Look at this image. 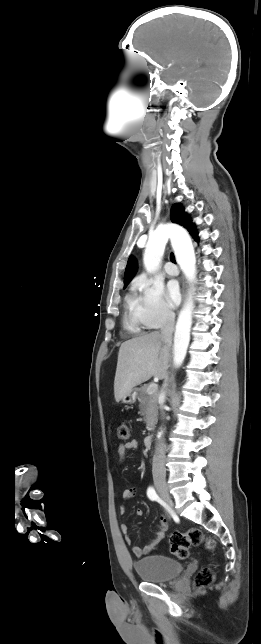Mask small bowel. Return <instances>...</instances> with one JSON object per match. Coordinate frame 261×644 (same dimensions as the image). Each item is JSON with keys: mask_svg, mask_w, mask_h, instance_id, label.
I'll return each mask as SVG.
<instances>
[{"mask_svg": "<svg viewBox=\"0 0 261 644\" xmlns=\"http://www.w3.org/2000/svg\"><path fill=\"white\" fill-rule=\"evenodd\" d=\"M138 449V442L136 440H131L126 443H122L118 447V462L121 463L125 460L126 455L129 451H135ZM136 492L135 487H129L123 490L122 492V498L124 500H129L131 499ZM120 511L122 513L125 512V507L121 506ZM136 515L137 516H142L143 515V510L141 508L136 509ZM168 527V518L166 516H161L160 517V524L157 528L156 535L153 539L148 541L145 546L140 547V546H133L132 547V552L135 556L141 557L142 555L148 554L152 551H154L162 542L165 536V531ZM121 531L125 535V539L127 543H131V536H130V527L127 524H122L121 525Z\"/></svg>", "mask_w": 261, "mask_h": 644, "instance_id": "obj_1", "label": "small bowel"}]
</instances>
